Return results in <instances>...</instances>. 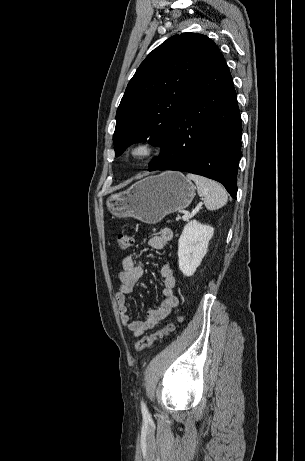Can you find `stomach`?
<instances>
[{
	"label": "stomach",
	"mask_w": 305,
	"mask_h": 461,
	"mask_svg": "<svg viewBox=\"0 0 305 461\" xmlns=\"http://www.w3.org/2000/svg\"><path fill=\"white\" fill-rule=\"evenodd\" d=\"M195 196V186L182 173L166 171L148 176L126 191L106 200L108 210L119 218L133 217L153 224L166 215L187 208Z\"/></svg>",
	"instance_id": "0dacf381"
}]
</instances>
